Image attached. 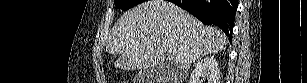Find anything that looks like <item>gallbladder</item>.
I'll return each mask as SVG.
<instances>
[{"mask_svg":"<svg viewBox=\"0 0 307 83\" xmlns=\"http://www.w3.org/2000/svg\"><path fill=\"white\" fill-rule=\"evenodd\" d=\"M165 77L164 73H161L159 69L156 68H148L140 71L136 75L137 83H158L160 78ZM166 82V81H165Z\"/></svg>","mask_w":307,"mask_h":83,"instance_id":"1","label":"gallbladder"}]
</instances>
